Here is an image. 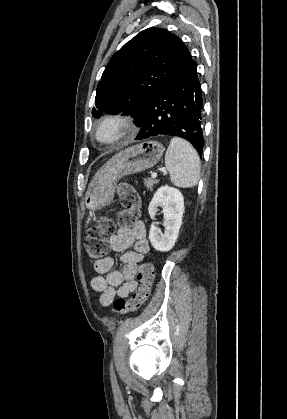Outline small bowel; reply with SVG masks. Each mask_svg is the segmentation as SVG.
<instances>
[{"label":"small bowel","mask_w":287,"mask_h":419,"mask_svg":"<svg viewBox=\"0 0 287 419\" xmlns=\"http://www.w3.org/2000/svg\"><path fill=\"white\" fill-rule=\"evenodd\" d=\"M110 246L114 252L121 253L123 267L114 268V259L111 256L95 263L94 269L98 276L92 279V288L100 293V303L103 306L111 304L116 296L128 297L137 288L138 264L149 252L145 223L139 221L132 227H121L111 236Z\"/></svg>","instance_id":"obj_1"}]
</instances>
